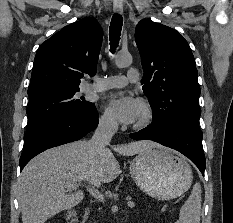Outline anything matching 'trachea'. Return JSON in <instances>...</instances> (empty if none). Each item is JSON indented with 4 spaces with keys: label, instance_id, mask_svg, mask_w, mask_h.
I'll return each mask as SVG.
<instances>
[{
    "label": "trachea",
    "instance_id": "1",
    "mask_svg": "<svg viewBox=\"0 0 233 223\" xmlns=\"http://www.w3.org/2000/svg\"><path fill=\"white\" fill-rule=\"evenodd\" d=\"M122 25H123L122 16L115 13L112 17L110 27H109V39H110V46H111L112 53H114V51L118 47Z\"/></svg>",
    "mask_w": 233,
    "mask_h": 223
}]
</instances>
